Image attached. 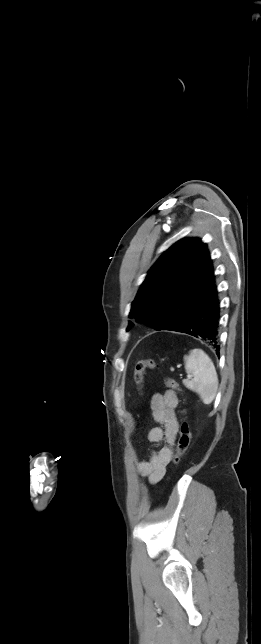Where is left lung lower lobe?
Returning <instances> with one entry per match:
<instances>
[{
    "instance_id": "obj_1",
    "label": "left lung lower lobe",
    "mask_w": 261,
    "mask_h": 644,
    "mask_svg": "<svg viewBox=\"0 0 261 644\" xmlns=\"http://www.w3.org/2000/svg\"><path fill=\"white\" fill-rule=\"evenodd\" d=\"M220 300L217 285L210 290L178 323L166 330L192 335L219 352Z\"/></svg>"
}]
</instances>
